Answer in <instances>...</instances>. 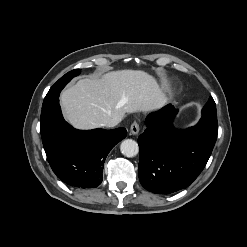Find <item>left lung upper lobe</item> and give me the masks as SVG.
I'll return each mask as SVG.
<instances>
[{
	"label": "left lung upper lobe",
	"mask_w": 247,
	"mask_h": 247,
	"mask_svg": "<svg viewBox=\"0 0 247 247\" xmlns=\"http://www.w3.org/2000/svg\"><path fill=\"white\" fill-rule=\"evenodd\" d=\"M199 122L213 128H218L216 104L212 97L209 98V101L202 109V117Z\"/></svg>",
	"instance_id": "obj_1"
}]
</instances>
